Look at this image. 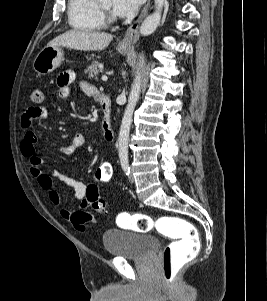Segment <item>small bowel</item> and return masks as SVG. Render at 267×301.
Instances as JSON below:
<instances>
[{"mask_svg": "<svg viewBox=\"0 0 267 301\" xmlns=\"http://www.w3.org/2000/svg\"><path fill=\"white\" fill-rule=\"evenodd\" d=\"M74 79L75 74L72 71L67 70L59 74L57 78V93L59 97L67 98L70 95V85ZM79 86L80 89L89 96L95 97L98 93L97 88L86 81H80ZM47 117L48 110L45 107L38 106L30 107L22 115L21 125L25 134L20 144V151L22 155L28 159L30 173L37 179L39 186L48 193V197L54 205L60 204V196L53 185L54 177L73 190L74 201L79 202L80 206L75 210L63 208L60 211V215L64 219L69 220L77 230L84 231L89 222L96 221V216L94 214L85 211V208L88 206V203L85 200V184L58 172L52 175L46 174L42 169L43 161L36 153L38 138L32 129V123L35 120ZM84 144L85 137L82 134H76L70 143L60 147V153L70 156Z\"/></svg>", "mask_w": 267, "mask_h": 301, "instance_id": "small-bowel-1", "label": "small bowel"}]
</instances>
